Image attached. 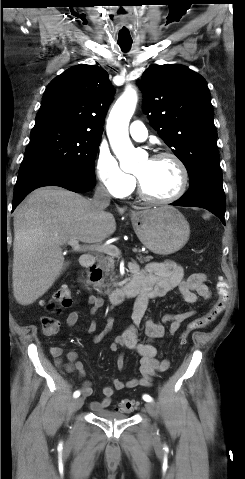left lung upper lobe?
Segmentation results:
<instances>
[{
  "mask_svg": "<svg viewBox=\"0 0 245 479\" xmlns=\"http://www.w3.org/2000/svg\"><path fill=\"white\" fill-rule=\"evenodd\" d=\"M151 126L185 165L190 184L220 169L217 131L205 79L186 66L154 65L139 83Z\"/></svg>",
  "mask_w": 245,
  "mask_h": 479,
  "instance_id": "obj_1",
  "label": "left lung upper lobe"
}]
</instances>
